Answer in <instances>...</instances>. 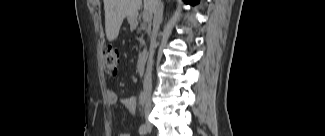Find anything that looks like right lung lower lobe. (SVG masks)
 <instances>
[{
  "instance_id": "98d812e1",
  "label": "right lung lower lobe",
  "mask_w": 325,
  "mask_h": 136,
  "mask_svg": "<svg viewBox=\"0 0 325 136\" xmlns=\"http://www.w3.org/2000/svg\"><path fill=\"white\" fill-rule=\"evenodd\" d=\"M188 2L192 5H195V4L199 3V0H188Z\"/></svg>"
}]
</instances>
